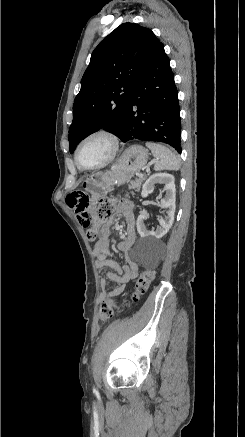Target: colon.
<instances>
[{
    "label": "colon",
    "instance_id": "5ec220e1",
    "mask_svg": "<svg viewBox=\"0 0 245 437\" xmlns=\"http://www.w3.org/2000/svg\"><path fill=\"white\" fill-rule=\"evenodd\" d=\"M113 200L110 198L101 199L98 205L95 207L91 215L92 227L91 229H87V237L90 241L96 240L100 235L99 226L106 222L112 211ZM155 273L153 270H144L141 272L139 277L137 278L134 286V290L132 293V300L134 302L138 301L139 298L146 293L150 284L154 280ZM118 307L117 302L111 297H107V299L102 303L99 310V320L101 323L106 322L114 316V313Z\"/></svg>",
    "mask_w": 245,
    "mask_h": 437
}]
</instances>
